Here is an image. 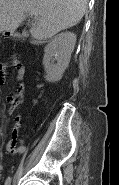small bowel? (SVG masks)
<instances>
[{
    "instance_id": "1",
    "label": "small bowel",
    "mask_w": 119,
    "mask_h": 185,
    "mask_svg": "<svg viewBox=\"0 0 119 185\" xmlns=\"http://www.w3.org/2000/svg\"><path fill=\"white\" fill-rule=\"evenodd\" d=\"M8 68H15V80L17 82L16 89L14 93L7 98V102L9 105V112H13L22 102L23 93L25 91V69L21 65L20 61L17 58H12L7 63L0 64V85H4L6 82V70ZM15 126L13 129L12 138L9 140L7 144V151L11 154H22L25 152L26 147L24 145V141L19 139V133L21 129V115L17 114L15 116Z\"/></svg>"
}]
</instances>
